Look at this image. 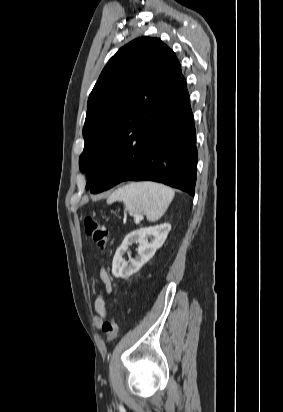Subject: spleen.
I'll list each match as a JSON object with an SVG mask.
<instances>
[{
	"mask_svg": "<svg viewBox=\"0 0 283 412\" xmlns=\"http://www.w3.org/2000/svg\"><path fill=\"white\" fill-rule=\"evenodd\" d=\"M174 194L173 189L159 183L132 182L115 190L107 203L123 202L130 214L144 213L148 221L155 222L164 215Z\"/></svg>",
	"mask_w": 283,
	"mask_h": 412,
	"instance_id": "1",
	"label": "spleen"
}]
</instances>
